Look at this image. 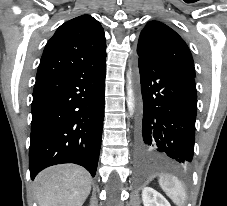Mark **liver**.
<instances>
[{
	"label": "liver",
	"instance_id": "1",
	"mask_svg": "<svg viewBox=\"0 0 227 206\" xmlns=\"http://www.w3.org/2000/svg\"><path fill=\"white\" fill-rule=\"evenodd\" d=\"M91 191V176L84 168L66 164L49 167L36 177L39 206H82Z\"/></svg>",
	"mask_w": 227,
	"mask_h": 206
}]
</instances>
